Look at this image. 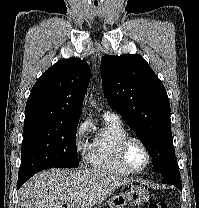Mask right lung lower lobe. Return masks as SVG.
Segmentation results:
<instances>
[{
  "instance_id": "98d812e1",
  "label": "right lung lower lobe",
  "mask_w": 199,
  "mask_h": 208,
  "mask_svg": "<svg viewBox=\"0 0 199 208\" xmlns=\"http://www.w3.org/2000/svg\"><path fill=\"white\" fill-rule=\"evenodd\" d=\"M28 179H29V178H27V177H19V178H18L17 187L20 188L21 185H22L26 180H28Z\"/></svg>"
}]
</instances>
